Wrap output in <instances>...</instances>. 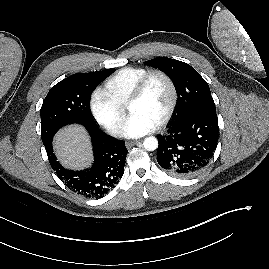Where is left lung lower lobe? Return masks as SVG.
<instances>
[{"label":"left lung lower lobe","instance_id":"0a47b994","mask_svg":"<svg viewBox=\"0 0 269 269\" xmlns=\"http://www.w3.org/2000/svg\"><path fill=\"white\" fill-rule=\"evenodd\" d=\"M218 131L216 110L195 111L175 121L166 135L157 137L158 164L175 177L198 174L214 155Z\"/></svg>","mask_w":269,"mask_h":269}]
</instances>
